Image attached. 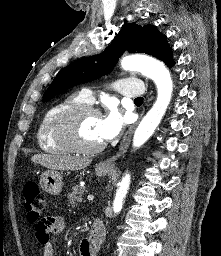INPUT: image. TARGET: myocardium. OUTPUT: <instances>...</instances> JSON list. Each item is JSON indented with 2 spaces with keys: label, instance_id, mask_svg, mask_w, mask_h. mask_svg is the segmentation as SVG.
<instances>
[{
  "label": "myocardium",
  "instance_id": "obj_1",
  "mask_svg": "<svg viewBox=\"0 0 221 256\" xmlns=\"http://www.w3.org/2000/svg\"><path fill=\"white\" fill-rule=\"evenodd\" d=\"M88 114L100 115L99 111L95 107L89 104H80L63 113L57 122V138L66 144L73 152L81 154H96L105 146L103 142L95 146H86L79 140L78 129L80 121Z\"/></svg>",
  "mask_w": 221,
  "mask_h": 256
}]
</instances>
